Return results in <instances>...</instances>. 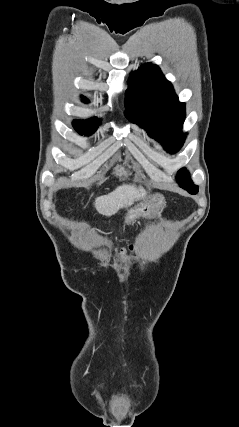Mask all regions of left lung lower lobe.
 Listing matches in <instances>:
<instances>
[{"label": "left lung lower lobe", "mask_w": 239, "mask_h": 427, "mask_svg": "<svg viewBox=\"0 0 239 427\" xmlns=\"http://www.w3.org/2000/svg\"><path fill=\"white\" fill-rule=\"evenodd\" d=\"M198 192V190L195 191H189L190 194H196Z\"/></svg>", "instance_id": "1"}]
</instances>
